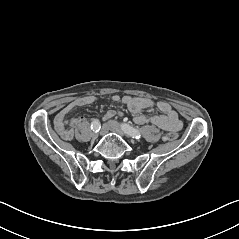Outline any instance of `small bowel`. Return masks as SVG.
<instances>
[{
  "mask_svg": "<svg viewBox=\"0 0 239 239\" xmlns=\"http://www.w3.org/2000/svg\"><path fill=\"white\" fill-rule=\"evenodd\" d=\"M111 100L115 103L122 101L128 109L134 114V121L138 125L153 124L167 131H179L182 128V122L176 111L164 102H155L150 98L113 95ZM96 101L94 96L80 97L66 107L61 109L55 117V127L60 136L65 140H71L74 136L73 127L84 121L83 116L68 118V116L78 107L92 104ZM156 107L160 114L148 116L142 113L143 110ZM120 114L119 111L111 109L105 114V119L112 118Z\"/></svg>",
  "mask_w": 239,
  "mask_h": 239,
  "instance_id": "1",
  "label": "small bowel"
}]
</instances>
